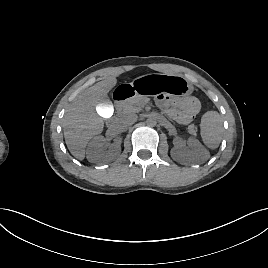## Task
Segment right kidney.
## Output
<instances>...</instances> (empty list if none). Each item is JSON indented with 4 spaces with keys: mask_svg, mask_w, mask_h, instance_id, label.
Listing matches in <instances>:
<instances>
[{
    "mask_svg": "<svg viewBox=\"0 0 268 268\" xmlns=\"http://www.w3.org/2000/svg\"><path fill=\"white\" fill-rule=\"evenodd\" d=\"M121 141L108 144L102 135L95 136L87 148V159L91 163L99 165L107 164L116 159L121 152Z\"/></svg>",
    "mask_w": 268,
    "mask_h": 268,
    "instance_id": "1",
    "label": "right kidney"
}]
</instances>
